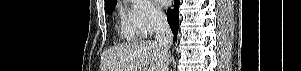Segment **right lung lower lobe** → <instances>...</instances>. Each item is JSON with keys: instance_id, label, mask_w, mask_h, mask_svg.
I'll return each instance as SVG.
<instances>
[{"instance_id": "1", "label": "right lung lower lobe", "mask_w": 301, "mask_h": 71, "mask_svg": "<svg viewBox=\"0 0 301 71\" xmlns=\"http://www.w3.org/2000/svg\"><path fill=\"white\" fill-rule=\"evenodd\" d=\"M167 21L174 34V41H176L179 27V0H175L173 9L169 8L167 10Z\"/></svg>"}]
</instances>
